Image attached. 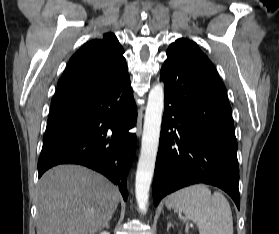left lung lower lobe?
<instances>
[{
  "mask_svg": "<svg viewBox=\"0 0 279 234\" xmlns=\"http://www.w3.org/2000/svg\"><path fill=\"white\" fill-rule=\"evenodd\" d=\"M166 54L154 205L182 187L206 183L227 192L240 209L237 140L226 88L211 62L178 49Z\"/></svg>",
  "mask_w": 279,
  "mask_h": 234,
  "instance_id": "0a47b994",
  "label": "left lung lower lobe"
}]
</instances>
